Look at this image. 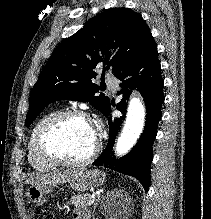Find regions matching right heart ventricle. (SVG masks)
Returning <instances> with one entry per match:
<instances>
[{
  "instance_id": "right-heart-ventricle-1",
  "label": "right heart ventricle",
  "mask_w": 211,
  "mask_h": 219,
  "mask_svg": "<svg viewBox=\"0 0 211 219\" xmlns=\"http://www.w3.org/2000/svg\"><path fill=\"white\" fill-rule=\"evenodd\" d=\"M54 114L53 111L47 112L45 114H43L35 123L30 137H29V141H28V145H27V150H28V162L31 165L32 168H34L37 171H48L50 169H52L54 167V165L49 164L48 162L44 161L43 159H41L36 151H35V139H36V135L38 133L39 128L41 127V125L50 117Z\"/></svg>"
}]
</instances>
